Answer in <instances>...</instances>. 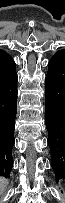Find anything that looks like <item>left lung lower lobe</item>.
Returning <instances> with one entry per match:
<instances>
[{"label":"left lung lower lobe","instance_id":"1","mask_svg":"<svg viewBox=\"0 0 65 203\" xmlns=\"http://www.w3.org/2000/svg\"><path fill=\"white\" fill-rule=\"evenodd\" d=\"M45 83L48 145L58 181L65 178V50L57 51L49 61Z\"/></svg>","mask_w":65,"mask_h":203}]
</instances>
